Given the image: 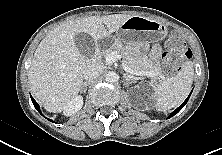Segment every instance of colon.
<instances>
[{"label": "colon", "mask_w": 222, "mask_h": 155, "mask_svg": "<svg viewBox=\"0 0 222 155\" xmlns=\"http://www.w3.org/2000/svg\"><path fill=\"white\" fill-rule=\"evenodd\" d=\"M165 49L163 69L168 74L179 71L192 55L184 39L177 34H173L168 38L165 43Z\"/></svg>", "instance_id": "1"}]
</instances>
